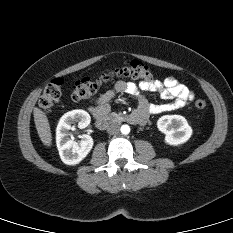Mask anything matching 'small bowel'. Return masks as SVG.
Segmentation results:
<instances>
[{
  "instance_id": "1",
  "label": "small bowel",
  "mask_w": 233,
  "mask_h": 233,
  "mask_svg": "<svg viewBox=\"0 0 233 233\" xmlns=\"http://www.w3.org/2000/svg\"><path fill=\"white\" fill-rule=\"evenodd\" d=\"M145 92L159 93L161 98L169 102L161 104L150 103ZM115 93H126L134 96L138 101V111L148 115L161 114L183 108L192 102L195 94L184 84L173 77H167L163 81L150 80L134 82L118 81L111 90L98 97L96 102L90 106L89 110L94 117L106 114L110 110V101Z\"/></svg>"
}]
</instances>
